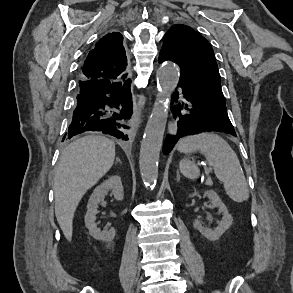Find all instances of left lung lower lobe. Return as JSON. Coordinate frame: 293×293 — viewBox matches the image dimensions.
I'll return each instance as SVG.
<instances>
[{
  "mask_svg": "<svg viewBox=\"0 0 293 293\" xmlns=\"http://www.w3.org/2000/svg\"><path fill=\"white\" fill-rule=\"evenodd\" d=\"M163 61L164 59L159 58L160 63ZM178 87L180 91H176L171 97V111L173 117L178 119V129L175 135L167 137L163 147L164 154L169 153L178 140L187 135L223 131L236 136L225 102L207 99L179 84Z\"/></svg>",
  "mask_w": 293,
  "mask_h": 293,
  "instance_id": "obj_1",
  "label": "left lung lower lobe"
}]
</instances>
